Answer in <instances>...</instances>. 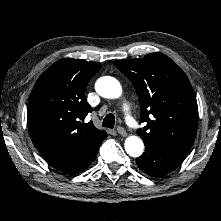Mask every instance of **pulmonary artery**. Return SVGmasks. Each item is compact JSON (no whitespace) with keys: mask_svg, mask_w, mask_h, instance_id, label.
<instances>
[{"mask_svg":"<svg viewBox=\"0 0 221 221\" xmlns=\"http://www.w3.org/2000/svg\"><path fill=\"white\" fill-rule=\"evenodd\" d=\"M123 109H124L125 114H126L127 122H128L130 125L135 126L134 120L131 118V116H130L129 113H128V105H127V104H124Z\"/></svg>","mask_w":221,"mask_h":221,"instance_id":"1","label":"pulmonary artery"}]
</instances>
